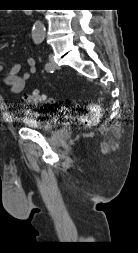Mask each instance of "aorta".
<instances>
[{
  "instance_id": "obj_1",
  "label": "aorta",
  "mask_w": 138,
  "mask_h": 253,
  "mask_svg": "<svg viewBox=\"0 0 138 253\" xmlns=\"http://www.w3.org/2000/svg\"><path fill=\"white\" fill-rule=\"evenodd\" d=\"M45 36V26L40 21L34 23L32 28V38L34 40H41Z\"/></svg>"
}]
</instances>
